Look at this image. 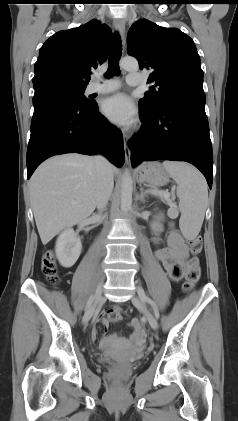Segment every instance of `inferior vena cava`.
<instances>
[{"label":"inferior vena cava","mask_w":238,"mask_h":421,"mask_svg":"<svg viewBox=\"0 0 238 421\" xmlns=\"http://www.w3.org/2000/svg\"><path fill=\"white\" fill-rule=\"evenodd\" d=\"M97 173V194L96 205L101 212L107 205L109 197L113 191L114 180L110 163L101 155L94 157Z\"/></svg>","instance_id":"obj_1"}]
</instances>
